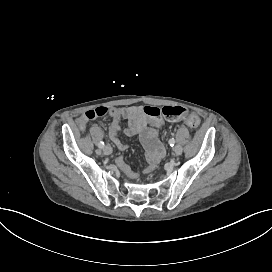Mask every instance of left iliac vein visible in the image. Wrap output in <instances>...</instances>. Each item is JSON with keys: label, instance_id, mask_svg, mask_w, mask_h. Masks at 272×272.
Here are the masks:
<instances>
[{"label": "left iliac vein", "instance_id": "obj_1", "mask_svg": "<svg viewBox=\"0 0 272 272\" xmlns=\"http://www.w3.org/2000/svg\"><path fill=\"white\" fill-rule=\"evenodd\" d=\"M174 153H175L176 156L181 155V153H182V147L180 145L175 146L174 147Z\"/></svg>", "mask_w": 272, "mask_h": 272}]
</instances>
